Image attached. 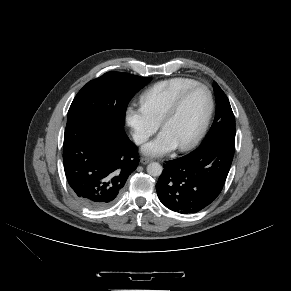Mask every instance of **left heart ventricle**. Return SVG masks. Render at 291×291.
I'll list each match as a JSON object with an SVG mask.
<instances>
[{
	"label": "left heart ventricle",
	"instance_id": "b2bd125f",
	"mask_svg": "<svg viewBox=\"0 0 291 291\" xmlns=\"http://www.w3.org/2000/svg\"><path fill=\"white\" fill-rule=\"evenodd\" d=\"M209 99L204 89H196L185 99L179 111L166 122L163 130L167 131L182 145L188 142L199 130L207 114Z\"/></svg>",
	"mask_w": 291,
	"mask_h": 291
}]
</instances>
